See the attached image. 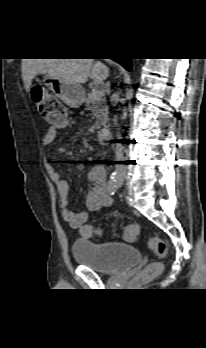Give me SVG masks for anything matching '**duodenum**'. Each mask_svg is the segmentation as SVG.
<instances>
[{"mask_svg": "<svg viewBox=\"0 0 206 348\" xmlns=\"http://www.w3.org/2000/svg\"><path fill=\"white\" fill-rule=\"evenodd\" d=\"M111 135H112V131L108 128L102 129L98 134L99 138L103 140L108 139Z\"/></svg>", "mask_w": 206, "mask_h": 348, "instance_id": "1", "label": "duodenum"}]
</instances>
